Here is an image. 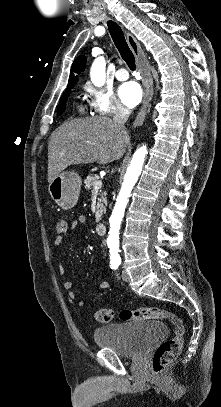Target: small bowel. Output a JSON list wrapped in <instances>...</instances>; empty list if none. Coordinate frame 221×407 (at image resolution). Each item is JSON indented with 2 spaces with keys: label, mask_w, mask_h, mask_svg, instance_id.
Returning <instances> with one entry per match:
<instances>
[{
  "label": "small bowel",
  "mask_w": 221,
  "mask_h": 407,
  "mask_svg": "<svg viewBox=\"0 0 221 407\" xmlns=\"http://www.w3.org/2000/svg\"><path fill=\"white\" fill-rule=\"evenodd\" d=\"M85 223H86V218H85L83 215H81V216H79L78 219L73 223L72 229H73V230L78 229V228L84 226ZM62 242H63V237L58 236V237L55 239L54 244H55L56 247H60L61 244H62ZM58 270H59V273H60L61 275H63V274L65 273V268H64V266H63L62 264H59V265H58ZM108 286H109V282H108V281H102V282L100 283V285H99L100 289H106ZM62 287H63L66 291H69V292H68V297H69L70 300H76L77 295H76L75 292L71 291V289H72V283H71L70 281H68V280L63 281ZM78 305L84 306L85 303H84V301L79 300V301H78Z\"/></svg>",
  "instance_id": "c3829d8e"
}]
</instances>
